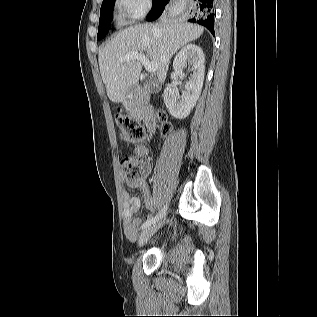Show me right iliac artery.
I'll use <instances>...</instances> for the list:
<instances>
[{
	"label": "right iliac artery",
	"instance_id": "obj_1",
	"mask_svg": "<svg viewBox=\"0 0 317 317\" xmlns=\"http://www.w3.org/2000/svg\"><path fill=\"white\" fill-rule=\"evenodd\" d=\"M167 209V205L164 206L161 211L158 213V215H156L155 217H152L150 219H148L146 222L143 223V225L141 226V229H146L147 227H149L151 224H154L156 223L159 219H161L164 214H165V211Z\"/></svg>",
	"mask_w": 317,
	"mask_h": 317
}]
</instances>
